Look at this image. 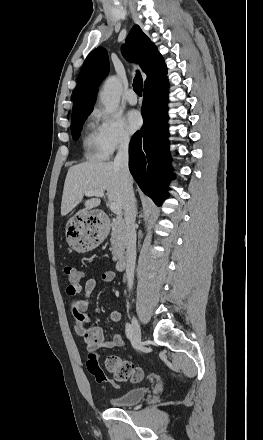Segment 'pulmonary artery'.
<instances>
[{
    "instance_id": "e3ab8cb5",
    "label": "pulmonary artery",
    "mask_w": 263,
    "mask_h": 440,
    "mask_svg": "<svg viewBox=\"0 0 263 440\" xmlns=\"http://www.w3.org/2000/svg\"><path fill=\"white\" fill-rule=\"evenodd\" d=\"M125 99L131 105H135L137 103V96H136V94L134 93L133 90H129L126 93Z\"/></svg>"
}]
</instances>
